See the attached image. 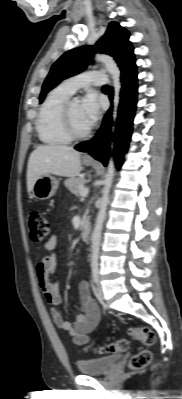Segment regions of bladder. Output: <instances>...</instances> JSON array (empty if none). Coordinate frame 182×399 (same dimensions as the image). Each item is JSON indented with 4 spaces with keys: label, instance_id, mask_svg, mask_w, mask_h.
<instances>
[{
    "label": "bladder",
    "instance_id": "31cf9c89",
    "mask_svg": "<svg viewBox=\"0 0 182 399\" xmlns=\"http://www.w3.org/2000/svg\"><path fill=\"white\" fill-rule=\"evenodd\" d=\"M121 358L120 355L106 356L77 361V368L83 375H102Z\"/></svg>",
    "mask_w": 182,
    "mask_h": 399
}]
</instances>
